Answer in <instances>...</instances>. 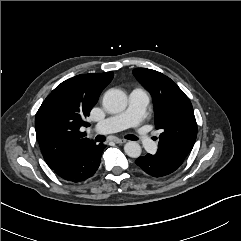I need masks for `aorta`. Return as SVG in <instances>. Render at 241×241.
I'll return each mask as SVG.
<instances>
[{
	"instance_id": "1",
	"label": "aorta",
	"mask_w": 241,
	"mask_h": 241,
	"mask_svg": "<svg viewBox=\"0 0 241 241\" xmlns=\"http://www.w3.org/2000/svg\"><path fill=\"white\" fill-rule=\"evenodd\" d=\"M103 107L109 113L122 112L127 107V96L119 89H109L103 97ZM125 153L132 158L141 155V146L135 141H129L124 145Z\"/></svg>"
}]
</instances>
